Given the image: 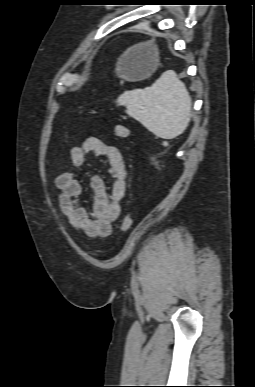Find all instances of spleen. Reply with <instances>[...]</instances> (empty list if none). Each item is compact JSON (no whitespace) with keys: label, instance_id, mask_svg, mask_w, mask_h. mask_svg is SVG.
<instances>
[{"label":"spleen","instance_id":"obj_1","mask_svg":"<svg viewBox=\"0 0 255 387\" xmlns=\"http://www.w3.org/2000/svg\"><path fill=\"white\" fill-rule=\"evenodd\" d=\"M117 102L126 113L164 139L182 134L191 118L192 101L185 84L168 70L151 87L122 93Z\"/></svg>","mask_w":255,"mask_h":387}]
</instances>
